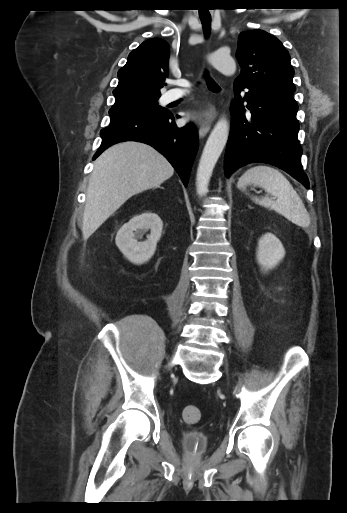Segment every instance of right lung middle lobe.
<instances>
[{
    "label": "right lung middle lobe",
    "instance_id": "dd1d6c3e",
    "mask_svg": "<svg viewBox=\"0 0 347 513\" xmlns=\"http://www.w3.org/2000/svg\"><path fill=\"white\" fill-rule=\"evenodd\" d=\"M158 98H143L127 103L114 105L109 111L110 118H118L122 116L136 115V114H150L159 115L166 110L158 105Z\"/></svg>",
    "mask_w": 347,
    "mask_h": 513
}]
</instances>
